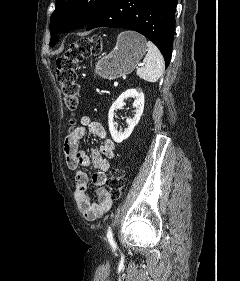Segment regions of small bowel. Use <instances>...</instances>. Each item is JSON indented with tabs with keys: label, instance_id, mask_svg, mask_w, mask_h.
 I'll list each match as a JSON object with an SVG mask.
<instances>
[{
	"label": "small bowel",
	"instance_id": "small-bowel-1",
	"mask_svg": "<svg viewBox=\"0 0 240 281\" xmlns=\"http://www.w3.org/2000/svg\"><path fill=\"white\" fill-rule=\"evenodd\" d=\"M89 131L102 140L99 149H93L89 155L80 147V140ZM116 151L115 142L108 137L104 126L83 116L80 125L67 135L64 142V153L67 167L74 173L76 189L74 197L76 203L88 221H95L107 213L112 205V199L105 188L106 173L110 168V160ZM81 167H92V184L95 188L97 199L92 200L87 192L89 177Z\"/></svg>",
	"mask_w": 240,
	"mask_h": 281
}]
</instances>
